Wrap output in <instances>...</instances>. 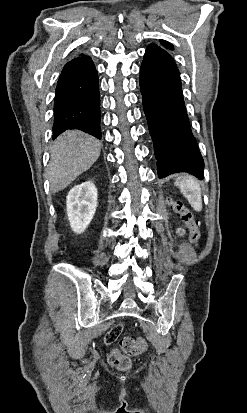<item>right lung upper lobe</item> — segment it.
I'll use <instances>...</instances> for the list:
<instances>
[{"mask_svg":"<svg viewBox=\"0 0 247 413\" xmlns=\"http://www.w3.org/2000/svg\"><path fill=\"white\" fill-rule=\"evenodd\" d=\"M91 58L85 54H80L77 58L71 60V62L81 61V60H90Z\"/></svg>","mask_w":247,"mask_h":413,"instance_id":"cb5924a9","label":"right lung upper lobe"}]
</instances>
